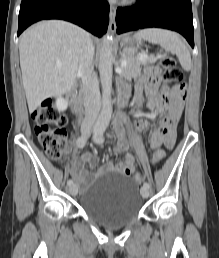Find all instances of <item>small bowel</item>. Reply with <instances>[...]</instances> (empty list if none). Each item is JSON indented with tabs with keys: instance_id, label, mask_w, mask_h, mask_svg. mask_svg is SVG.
Instances as JSON below:
<instances>
[{
	"instance_id": "small-bowel-1",
	"label": "small bowel",
	"mask_w": 219,
	"mask_h": 258,
	"mask_svg": "<svg viewBox=\"0 0 219 258\" xmlns=\"http://www.w3.org/2000/svg\"><path fill=\"white\" fill-rule=\"evenodd\" d=\"M160 77V69L155 65H150L145 69L144 76L138 84V92L145 89L149 97V107L155 112H165L164 120L159 123L153 133L150 141V147L156 149L164 144L166 147H173L176 138V126L178 124L185 99V93H178L172 90L169 97L158 94V80ZM139 99L137 98V105ZM152 121V120H151ZM150 123V119L141 120L137 123L136 128L140 131L146 129ZM151 125V124H150ZM127 124L122 115H118L113 122V128L119 136L117 152L123 155V162L113 164L111 162L100 168V172L117 170L125 175H131L135 172V155L128 152V143L124 137ZM98 160L95 155L86 152L80 157H73L71 160V175L78 185L85 189L92 181V176L86 169V165L96 166ZM141 177V176H140Z\"/></svg>"
}]
</instances>
